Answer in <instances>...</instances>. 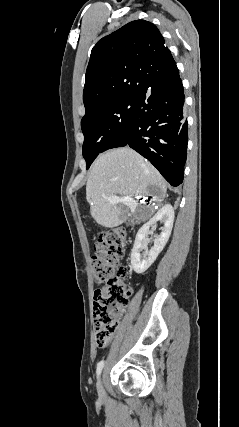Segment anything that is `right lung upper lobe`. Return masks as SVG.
I'll return each instance as SVG.
<instances>
[{
	"mask_svg": "<svg viewBox=\"0 0 239 427\" xmlns=\"http://www.w3.org/2000/svg\"><path fill=\"white\" fill-rule=\"evenodd\" d=\"M178 74L158 28L149 21H132L93 47L83 92L85 109L106 100L136 98Z\"/></svg>",
	"mask_w": 239,
	"mask_h": 427,
	"instance_id": "obj_1",
	"label": "right lung upper lobe"
}]
</instances>
